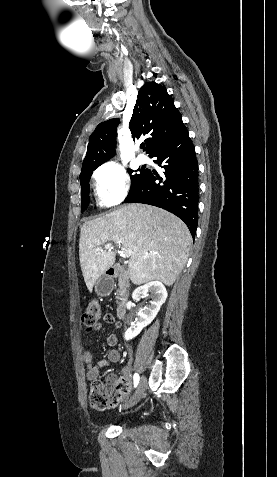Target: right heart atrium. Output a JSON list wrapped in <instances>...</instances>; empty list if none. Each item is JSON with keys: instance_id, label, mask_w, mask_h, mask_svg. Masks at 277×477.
Instances as JSON below:
<instances>
[{"instance_id": "obj_1", "label": "right heart atrium", "mask_w": 277, "mask_h": 477, "mask_svg": "<svg viewBox=\"0 0 277 477\" xmlns=\"http://www.w3.org/2000/svg\"><path fill=\"white\" fill-rule=\"evenodd\" d=\"M94 182L98 200L105 206L121 203L129 192L130 179L127 171L113 162L105 163L96 169Z\"/></svg>"}]
</instances>
